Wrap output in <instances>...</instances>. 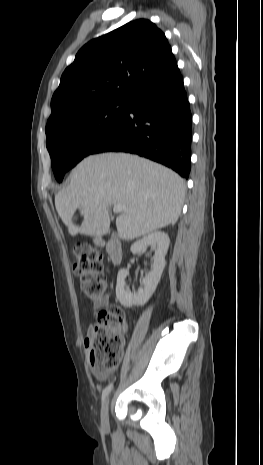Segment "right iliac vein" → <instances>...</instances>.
<instances>
[{
    "instance_id": "right-iliac-vein-1",
    "label": "right iliac vein",
    "mask_w": 263,
    "mask_h": 465,
    "mask_svg": "<svg viewBox=\"0 0 263 465\" xmlns=\"http://www.w3.org/2000/svg\"><path fill=\"white\" fill-rule=\"evenodd\" d=\"M109 397L104 401L101 409V425L103 429L109 428Z\"/></svg>"
}]
</instances>
